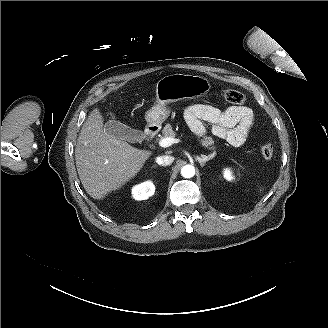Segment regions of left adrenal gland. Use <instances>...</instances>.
I'll return each mask as SVG.
<instances>
[{"mask_svg": "<svg viewBox=\"0 0 328 328\" xmlns=\"http://www.w3.org/2000/svg\"><path fill=\"white\" fill-rule=\"evenodd\" d=\"M213 158V154L210 155H201V157L197 156V160L199 161L200 165L203 167L207 161Z\"/></svg>", "mask_w": 328, "mask_h": 328, "instance_id": "obj_1", "label": "left adrenal gland"}]
</instances>
